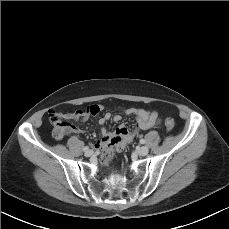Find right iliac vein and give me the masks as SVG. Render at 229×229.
Wrapping results in <instances>:
<instances>
[{"instance_id":"1","label":"right iliac vein","mask_w":229,"mask_h":229,"mask_svg":"<svg viewBox=\"0 0 229 229\" xmlns=\"http://www.w3.org/2000/svg\"><path fill=\"white\" fill-rule=\"evenodd\" d=\"M93 155V151L92 150H87L86 152H85V156L86 157H90V156H92Z\"/></svg>"}]
</instances>
